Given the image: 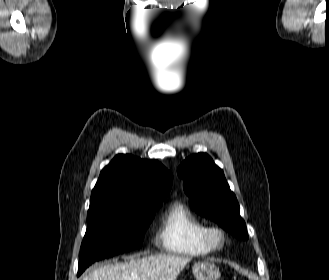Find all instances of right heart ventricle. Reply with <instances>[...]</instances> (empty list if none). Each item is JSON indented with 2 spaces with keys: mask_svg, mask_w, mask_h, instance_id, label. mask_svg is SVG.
<instances>
[{
  "mask_svg": "<svg viewBox=\"0 0 329 280\" xmlns=\"http://www.w3.org/2000/svg\"><path fill=\"white\" fill-rule=\"evenodd\" d=\"M204 220L186 204L174 202L168 208L160 229L159 240L163 249L171 254L197 257L209 255L212 249L205 243Z\"/></svg>",
  "mask_w": 329,
  "mask_h": 280,
  "instance_id": "obj_1",
  "label": "right heart ventricle"
}]
</instances>
